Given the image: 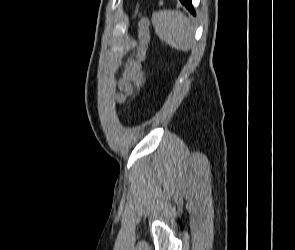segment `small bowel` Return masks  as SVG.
Segmentation results:
<instances>
[{
	"label": "small bowel",
	"instance_id": "obj_1",
	"mask_svg": "<svg viewBox=\"0 0 295 250\" xmlns=\"http://www.w3.org/2000/svg\"><path fill=\"white\" fill-rule=\"evenodd\" d=\"M119 89H120V94L118 96V102L120 104H124L126 102V99L129 96H131L133 93L132 84L126 79H123L119 83Z\"/></svg>",
	"mask_w": 295,
	"mask_h": 250
}]
</instances>
